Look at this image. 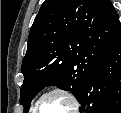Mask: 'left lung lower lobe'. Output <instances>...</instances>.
<instances>
[{
    "instance_id": "left-lung-lower-lobe-1",
    "label": "left lung lower lobe",
    "mask_w": 121,
    "mask_h": 113,
    "mask_svg": "<svg viewBox=\"0 0 121 113\" xmlns=\"http://www.w3.org/2000/svg\"><path fill=\"white\" fill-rule=\"evenodd\" d=\"M81 113H121V26L83 86Z\"/></svg>"
}]
</instances>
